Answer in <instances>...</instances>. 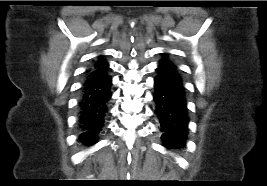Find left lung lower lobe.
I'll return each mask as SVG.
<instances>
[{
	"instance_id": "obj_1",
	"label": "left lung lower lobe",
	"mask_w": 267,
	"mask_h": 186,
	"mask_svg": "<svg viewBox=\"0 0 267 186\" xmlns=\"http://www.w3.org/2000/svg\"><path fill=\"white\" fill-rule=\"evenodd\" d=\"M154 79L155 114L160 123L161 138L167 145H183L187 138L188 109L185 88L177 66L162 57Z\"/></svg>"
}]
</instances>
